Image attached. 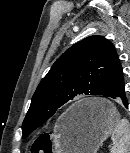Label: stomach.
<instances>
[{
	"mask_svg": "<svg viewBox=\"0 0 130 153\" xmlns=\"http://www.w3.org/2000/svg\"><path fill=\"white\" fill-rule=\"evenodd\" d=\"M82 108L85 111L79 112ZM120 115L105 99H87L72 105L58 120L54 140L58 153H97L113 133Z\"/></svg>",
	"mask_w": 130,
	"mask_h": 153,
	"instance_id": "stomach-1",
	"label": "stomach"
}]
</instances>
